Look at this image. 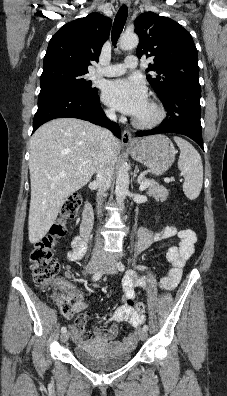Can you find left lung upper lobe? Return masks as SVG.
I'll list each match as a JSON object with an SVG mask.
<instances>
[{"label": "left lung upper lobe", "mask_w": 227, "mask_h": 396, "mask_svg": "<svg viewBox=\"0 0 227 396\" xmlns=\"http://www.w3.org/2000/svg\"><path fill=\"white\" fill-rule=\"evenodd\" d=\"M135 32L139 36L137 56L153 58L146 71L160 99L172 90L200 88L198 53L190 33L168 17L146 12L135 20Z\"/></svg>", "instance_id": "1"}]
</instances>
